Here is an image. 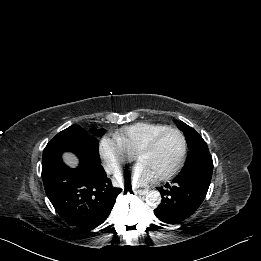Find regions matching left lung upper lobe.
Instances as JSON below:
<instances>
[{
	"label": "left lung upper lobe",
	"mask_w": 261,
	"mask_h": 261,
	"mask_svg": "<svg viewBox=\"0 0 261 261\" xmlns=\"http://www.w3.org/2000/svg\"><path fill=\"white\" fill-rule=\"evenodd\" d=\"M175 123L177 124L179 129L183 131L187 141L188 148L190 150L186 159V163H188L194 154H196L197 152H199L204 148H207V144L193 128H191L184 122L182 121L179 122L176 120Z\"/></svg>",
	"instance_id": "1"
}]
</instances>
